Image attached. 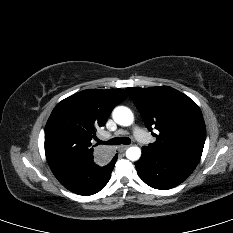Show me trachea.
<instances>
[{
	"label": "trachea",
	"instance_id": "3493384b",
	"mask_svg": "<svg viewBox=\"0 0 233 233\" xmlns=\"http://www.w3.org/2000/svg\"><path fill=\"white\" fill-rule=\"evenodd\" d=\"M97 141H98V144H108V145H120V144L128 145L131 142L130 138L128 137H122V138L116 137V138L109 140L108 142H104L101 140H97Z\"/></svg>",
	"mask_w": 233,
	"mask_h": 233
}]
</instances>
